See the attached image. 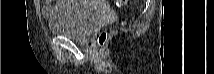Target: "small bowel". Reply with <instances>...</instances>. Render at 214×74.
<instances>
[{
    "label": "small bowel",
    "mask_w": 214,
    "mask_h": 74,
    "mask_svg": "<svg viewBox=\"0 0 214 74\" xmlns=\"http://www.w3.org/2000/svg\"><path fill=\"white\" fill-rule=\"evenodd\" d=\"M97 4H100V2H96ZM68 5H71L70 1H60L56 3V8H61V7H66ZM56 12V10L53 8V6L51 5L50 2H46L43 6H42V14L45 17H52L54 15V13Z\"/></svg>",
    "instance_id": "obj_1"
}]
</instances>
